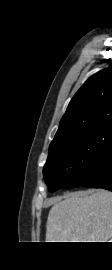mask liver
Returning <instances> with one entry per match:
<instances>
[{"instance_id": "6515ba94", "label": "liver", "mask_w": 112, "mask_h": 270, "mask_svg": "<svg viewBox=\"0 0 112 270\" xmlns=\"http://www.w3.org/2000/svg\"><path fill=\"white\" fill-rule=\"evenodd\" d=\"M112 238V192L79 191L57 200L46 227V242H107Z\"/></svg>"}]
</instances>
